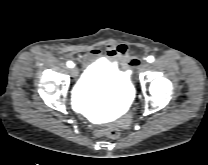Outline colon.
<instances>
[{"label":"colon","mask_w":208,"mask_h":165,"mask_svg":"<svg viewBox=\"0 0 208 165\" xmlns=\"http://www.w3.org/2000/svg\"><path fill=\"white\" fill-rule=\"evenodd\" d=\"M97 137L117 138L120 130L117 127H107L95 133Z\"/></svg>","instance_id":"colon-1"}]
</instances>
